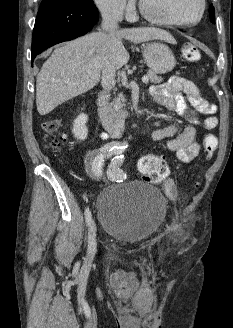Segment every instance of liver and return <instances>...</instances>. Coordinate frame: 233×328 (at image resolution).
<instances>
[{
  "label": "liver",
  "mask_w": 233,
  "mask_h": 328,
  "mask_svg": "<svg viewBox=\"0 0 233 328\" xmlns=\"http://www.w3.org/2000/svg\"><path fill=\"white\" fill-rule=\"evenodd\" d=\"M122 39L141 43L160 39L174 44V37L154 27L126 28L114 32H94L57 47L43 64L36 80V104L40 115L85 93L98 84L104 62L116 69L129 61Z\"/></svg>",
  "instance_id": "liver-1"
}]
</instances>
